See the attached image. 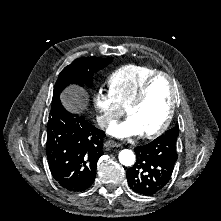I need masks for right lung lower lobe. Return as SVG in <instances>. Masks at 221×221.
Listing matches in <instances>:
<instances>
[{"label": "right lung lower lobe", "instance_id": "98d812e1", "mask_svg": "<svg viewBox=\"0 0 221 221\" xmlns=\"http://www.w3.org/2000/svg\"><path fill=\"white\" fill-rule=\"evenodd\" d=\"M104 137L84 117L65 110L60 99L52 104L46 154L51 174L61 187L82 192L93 184Z\"/></svg>", "mask_w": 221, "mask_h": 221}]
</instances>
